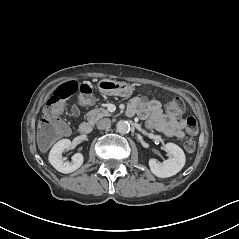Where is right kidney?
Returning a JSON list of instances; mask_svg holds the SVG:
<instances>
[{
  "label": "right kidney",
  "mask_w": 239,
  "mask_h": 239,
  "mask_svg": "<svg viewBox=\"0 0 239 239\" xmlns=\"http://www.w3.org/2000/svg\"><path fill=\"white\" fill-rule=\"evenodd\" d=\"M72 147L69 139H62L58 141L51 149L49 154L50 164L60 173L69 174L79 169L83 164V156L81 154H75L73 156V162L69 163L64 161L62 153L64 150H69Z\"/></svg>",
  "instance_id": "1"
}]
</instances>
